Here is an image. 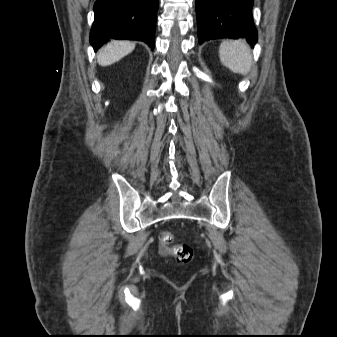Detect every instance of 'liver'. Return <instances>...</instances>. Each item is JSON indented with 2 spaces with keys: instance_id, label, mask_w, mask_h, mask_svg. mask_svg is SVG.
Segmentation results:
<instances>
[{
  "instance_id": "obj_1",
  "label": "liver",
  "mask_w": 337,
  "mask_h": 337,
  "mask_svg": "<svg viewBox=\"0 0 337 337\" xmlns=\"http://www.w3.org/2000/svg\"><path fill=\"white\" fill-rule=\"evenodd\" d=\"M134 48L135 43L131 41H111L98 55V63L101 66L111 65L131 53Z\"/></svg>"
}]
</instances>
